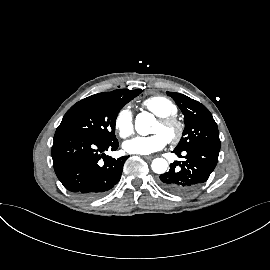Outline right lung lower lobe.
Returning a JSON list of instances; mask_svg holds the SVG:
<instances>
[{"mask_svg":"<svg viewBox=\"0 0 270 270\" xmlns=\"http://www.w3.org/2000/svg\"><path fill=\"white\" fill-rule=\"evenodd\" d=\"M118 147V140L105 143L82 134H55L52 146L55 173L63 186L76 196L99 197L121 178L128 156L114 159L103 153Z\"/></svg>","mask_w":270,"mask_h":270,"instance_id":"98d812e1","label":"right lung lower lobe"}]
</instances>
